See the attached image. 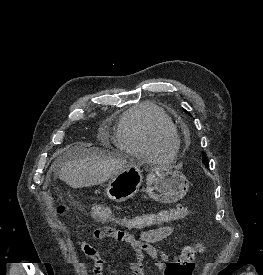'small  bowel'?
I'll list each match as a JSON object with an SVG mask.
<instances>
[{
    "label": "small bowel",
    "instance_id": "c3829d8e",
    "mask_svg": "<svg viewBox=\"0 0 263 275\" xmlns=\"http://www.w3.org/2000/svg\"><path fill=\"white\" fill-rule=\"evenodd\" d=\"M118 231L119 230L111 227H100L94 231L93 236L96 239L110 237L116 241L124 242L129 246L134 253V261L130 263L131 275H146L144 263L147 258L152 261L161 275H170L168 273V266L172 258L156 247V244L173 234L174 227L172 225H157L154 228L142 231L138 237L124 232V234L128 235V238L122 240L116 238ZM79 245L82 252L93 261V275H102L104 260L98 250L85 240H80ZM193 270L194 268H192L187 275H192Z\"/></svg>",
    "mask_w": 263,
    "mask_h": 275
}]
</instances>
